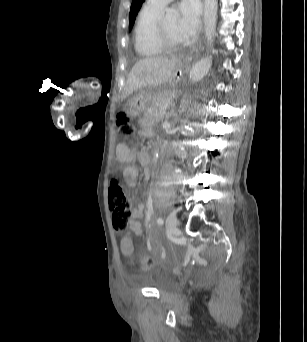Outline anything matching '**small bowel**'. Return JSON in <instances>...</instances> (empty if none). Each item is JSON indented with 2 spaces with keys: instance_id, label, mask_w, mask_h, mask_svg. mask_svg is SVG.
<instances>
[{
  "instance_id": "c3829d8e",
  "label": "small bowel",
  "mask_w": 307,
  "mask_h": 342,
  "mask_svg": "<svg viewBox=\"0 0 307 342\" xmlns=\"http://www.w3.org/2000/svg\"><path fill=\"white\" fill-rule=\"evenodd\" d=\"M147 158V154L144 151H134L129 148L123 147L120 151V158L123 162L127 163V167L124 171V178L128 186L135 187L138 184V171L137 168L133 165V162L137 160L140 164H142V159ZM143 165V164H142ZM149 171L146 168L144 171V177L148 178ZM131 200L136 202V197L131 196ZM145 212V206L141 203H137L135 208L133 209V218L130 221L129 225H132V232H142L141 223L139 218L143 216ZM121 240H132V239H121Z\"/></svg>"
}]
</instances>
